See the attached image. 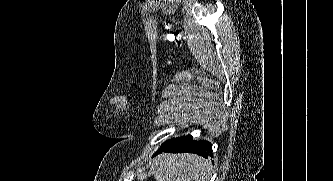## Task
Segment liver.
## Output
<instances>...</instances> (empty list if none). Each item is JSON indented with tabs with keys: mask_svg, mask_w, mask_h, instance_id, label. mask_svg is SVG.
Listing matches in <instances>:
<instances>
[{
	"mask_svg": "<svg viewBox=\"0 0 333 181\" xmlns=\"http://www.w3.org/2000/svg\"><path fill=\"white\" fill-rule=\"evenodd\" d=\"M156 181H209L212 164L196 154H160L149 163Z\"/></svg>",
	"mask_w": 333,
	"mask_h": 181,
	"instance_id": "obj_1",
	"label": "liver"
}]
</instances>
